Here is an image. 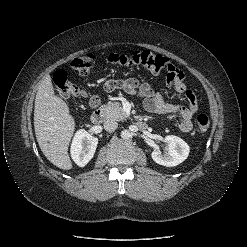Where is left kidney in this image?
<instances>
[{
	"instance_id": "left-kidney-1",
	"label": "left kidney",
	"mask_w": 247,
	"mask_h": 247,
	"mask_svg": "<svg viewBox=\"0 0 247 247\" xmlns=\"http://www.w3.org/2000/svg\"><path fill=\"white\" fill-rule=\"evenodd\" d=\"M167 145V153L162 154L159 150L151 153L152 159L159 165L173 167L187 159L190 148L188 144L178 136L168 135L164 138Z\"/></svg>"
}]
</instances>
